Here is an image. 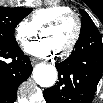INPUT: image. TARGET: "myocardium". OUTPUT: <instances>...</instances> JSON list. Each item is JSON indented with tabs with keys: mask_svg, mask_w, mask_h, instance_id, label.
<instances>
[{
	"mask_svg": "<svg viewBox=\"0 0 103 103\" xmlns=\"http://www.w3.org/2000/svg\"><path fill=\"white\" fill-rule=\"evenodd\" d=\"M69 20H74L75 31H74L73 37L70 40V42L64 48L57 51V53L60 56H66V55L70 54L72 52V50L75 48L76 44L78 43L80 36H81V31H82V22H81L80 17L77 14H75L74 12L65 13V14L57 17L56 19L52 20L51 22L46 24L41 29V33H42V31H44L46 29L59 27Z\"/></svg>",
	"mask_w": 103,
	"mask_h": 103,
	"instance_id": "obj_1",
	"label": "myocardium"
}]
</instances>
